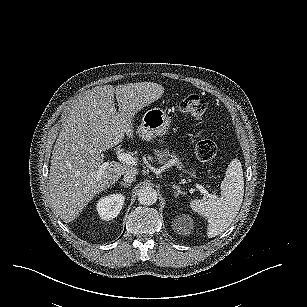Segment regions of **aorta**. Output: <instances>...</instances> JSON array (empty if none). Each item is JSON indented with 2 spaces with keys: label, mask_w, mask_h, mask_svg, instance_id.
<instances>
[{
  "label": "aorta",
  "mask_w": 307,
  "mask_h": 307,
  "mask_svg": "<svg viewBox=\"0 0 307 307\" xmlns=\"http://www.w3.org/2000/svg\"><path fill=\"white\" fill-rule=\"evenodd\" d=\"M157 191L151 186H146L138 192V202L141 205L150 206L157 201Z\"/></svg>",
  "instance_id": "aorta-1"
}]
</instances>
